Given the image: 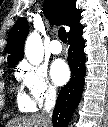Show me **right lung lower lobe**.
<instances>
[{"label": "right lung lower lobe", "mask_w": 108, "mask_h": 127, "mask_svg": "<svg viewBox=\"0 0 108 127\" xmlns=\"http://www.w3.org/2000/svg\"><path fill=\"white\" fill-rule=\"evenodd\" d=\"M83 26H79L68 34L70 47L68 50V63L72 78L65 85L58 96L53 112L52 122L54 127H67L72 113L81 100L85 76V41L82 38Z\"/></svg>", "instance_id": "right-lung-lower-lobe-1"}]
</instances>
